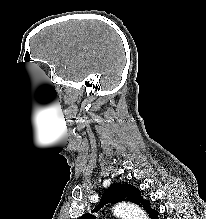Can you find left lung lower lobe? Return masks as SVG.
I'll list each match as a JSON object with an SVG mask.
<instances>
[{
  "mask_svg": "<svg viewBox=\"0 0 206 219\" xmlns=\"http://www.w3.org/2000/svg\"><path fill=\"white\" fill-rule=\"evenodd\" d=\"M147 213L149 214V217L151 218V219H158V212L157 211H155V210H152L151 208L150 209H148V211H147Z\"/></svg>",
  "mask_w": 206,
  "mask_h": 219,
  "instance_id": "0a47b994",
  "label": "left lung lower lobe"
}]
</instances>
